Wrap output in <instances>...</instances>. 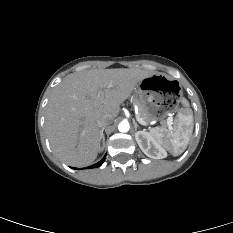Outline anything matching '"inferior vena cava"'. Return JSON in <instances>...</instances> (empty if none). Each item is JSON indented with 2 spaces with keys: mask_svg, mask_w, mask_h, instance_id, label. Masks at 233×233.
Segmentation results:
<instances>
[{
  "mask_svg": "<svg viewBox=\"0 0 233 233\" xmlns=\"http://www.w3.org/2000/svg\"><path fill=\"white\" fill-rule=\"evenodd\" d=\"M97 124L100 128L104 129L106 126L111 124V121L108 118L103 117L98 120Z\"/></svg>",
  "mask_w": 233,
  "mask_h": 233,
  "instance_id": "602c4592",
  "label": "inferior vena cava"
}]
</instances>
